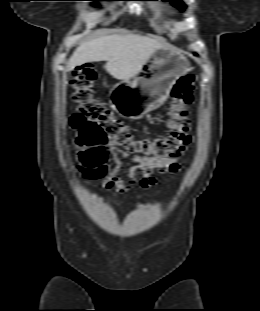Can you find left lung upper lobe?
<instances>
[{"label": "left lung upper lobe", "instance_id": "5c2ea615", "mask_svg": "<svg viewBox=\"0 0 260 311\" xmlns=\"http://www.w3.org/2000/svg\"><path fill=\"white\" fill-rule=\"evenodd\" d=\"M163 1H171L172 4L175 6V7H178L179 9L181 10H184L185 9V5L182 3L181 0H163Z\"/></svg>", "mask_w": 260, "mask_h": 311}]
</instances>
